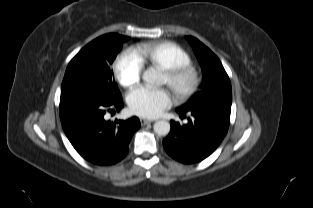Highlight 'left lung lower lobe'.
<instances>
[{"mask_svg": "<svg viewBox=\"0 0 313 208\" xmlns=\"http://www.w3.org/2000/svg\"><path fill=\"white\" fill-rule=\"evenodd\" d=\"M180 117L190 114L188 123L171 121V131L163 140L166 152L177 161L191 164L212 154L227 134L231 107L201 105L191 109L177 108Z\"/></svg>", "mask_w": 313, "mask_h": 208, "instance_id": "left-lung-lower-lobe-1", "label": "left lung lower lobe"}]
</instances>
